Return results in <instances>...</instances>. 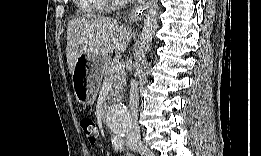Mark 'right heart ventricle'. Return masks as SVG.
<instances>
[{
	"mask_svg": "<svg viewBox=\"0 0 261 156\" xmlns=\"http://www.w3.org/2000/svg\"><path fill=\"white\" fill-rule=\"evenodd\" d=\"M76 3L81 6L86 11H93L99 8L102 4V1L98 0H78Z\"/></svg>",
	"mask_w": 261,
	"mask_h": 156,
	"instance_id": "1",
	"label": "right heart ventricle"
}]
</instances>
